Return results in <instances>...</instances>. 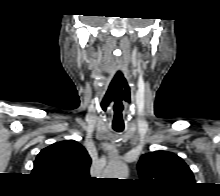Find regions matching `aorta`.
<instances>
[{
	"instance_id": "762f6f07",
	"label": "aorta",
	"mask_w": 220,
	"mask_h": 196,
	"mask_svg": "<svg viewBox=\"0 0 220 196\" xmlns=\"http://www.w3.org/2000/svg\"><path fill=\"white\" fill-rule=\"evenodd\" d=\"M105 178L126 179L128 176V167L120 161H111L104 172Z\"/></svg>"
}]
</instances>
